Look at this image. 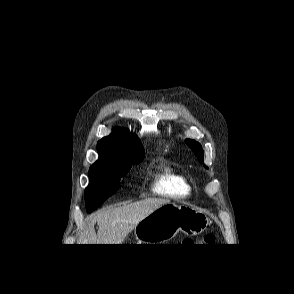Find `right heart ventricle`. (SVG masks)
<instances>
[{"mask_svg": "<svg viewBox=\"0 0 294 294\" xmlns=\"http://www.w3.org/2000/svg\"><path fill=\"white\" fill-rule=\"evenodd\" d=\"M149 189L161 196L181 197L191 192V184L188 178L173 166L163 164L160 172L151 182Z\"/></svg>", "mask_w": 294, "mask_h": 294, "instance_id": "1", "label": "right heart ventricle"}]
</instances>
